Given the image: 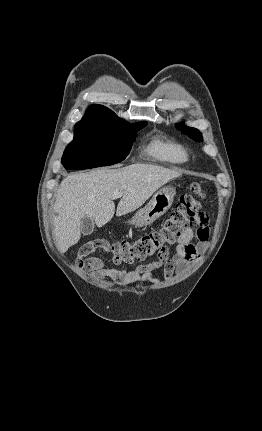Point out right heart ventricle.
<instances>
[{"mask_svg": "<svg viewBox=\"0 0 262 431\" xmlns=\"http://www.w3.org/2000/svg\"><path fill=\"white\" fill-rule=\"evenodd\" d=\"M145 153L153 160L173 167L183 166L189 161V153L183 145L161 134L150 140Z\"/></svg>", "mask_w": 262, "mask_h": 431, "instance_id": "e07e8e85", "label": "right heart ventricle"}]
</instances>
